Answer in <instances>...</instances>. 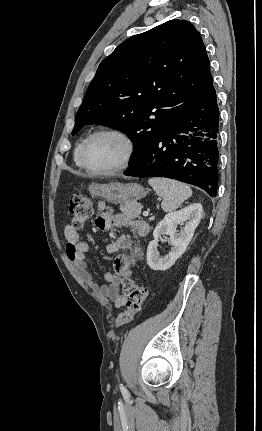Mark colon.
I'll use <instances>...</instances> for the list:
<instances>
[{"instance_id":"colon-1","label":"colon","mask_w":262,"mask_h":431,"mask_svg":"<svg viewBox=\"0 0 262 431\" xmlns=\"http://www.w3.org/2000/svg\"><path fill=\"white\" fill-rule=\"evenodd\" d=\"M92 205L89 199L81 193H74L69 201V217L72 228L81 229L92 215ZM121 292L127 298L125 310L115 319L117 327L129 324L134 316L141 312L148 290L132 278H124L121 282Z\"/></svg>"}]
</instances>
